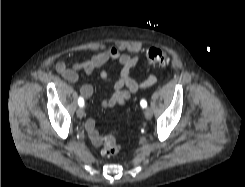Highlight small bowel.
<instances>
[{
	"label": "small bowel",
	"mask_w": 245,
	"mask_h": 187,
	"mask_svg": "<svg viewBox=\"0 0 245 187\" xmlns=\"http://www.w3.org/2000/svg\"><path fill=\"white\" fill-rule=\"evenodd\" d=\"M110 60L117 61L121 66V70L119 76L115 80H112L110 73L106 70H101L99 73L100 78L110 85L109 96L102 101V106L104 108H113L124 105L133 95L151 87L157 81L155 75H149L141 82L132 78L130 73L137 65L139 56L123 53L114 46L102 50L91 58L79 63L68 64L64 61H59L56 65V69L65 80L75 83L80 79V73L90 75ZM92 93L93 89L90 84H84L80 88V94L85 99L90 98ZM85 128L93 145L100 146L103 142V138L97 131L94 120L88 119L85 123Z\"/></svg>",
	"instance_id": "1"
}]
</instances>
